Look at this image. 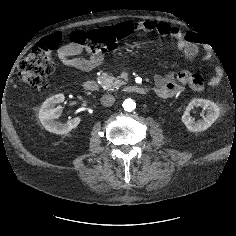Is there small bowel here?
<instances>
[{
  "label": "small bowel",
  "mask_w": 236,
  "mask_h": 236,
  "mask_svg": "<svg viewBox=\"0 0 236 236\" xmlns=\"http://www.w3.org/2000/svg\"><path fill=\"white\" fill-rule=\"evenodd\" d=\"M133 31L154 32L162 37H171L175 40L178 51L186 60H193L199 54L197 36L193 32L185 33L179 27L163 21L145 20L130 23ZM82 47L74 42L64 44L57 50L61 62L84 72H90L99 67L104 59L103 52L91 54L89 57H81ZM222 80L221 70H216L210 80L212 87L217 86ZM154 91L162 98H171L183 91L182 85H187L193 91H201L204 88V80L198 73L182 70L178 73H159L154 77Z\"/></svg>",
  "instance_id": "obj_1"
}]
</instances>
